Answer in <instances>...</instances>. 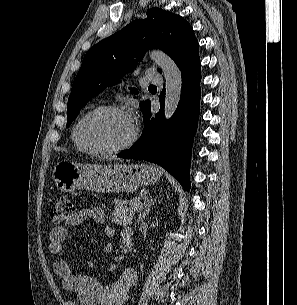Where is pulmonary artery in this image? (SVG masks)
Masks as SVG:
<instances>
[{
	"label": "pulmonary artery",
	"mask_w": 297,
	"mask_h": 305,
	"mask_svg": "<svg viewBox=\"0 0 297 305\" xmlns=\"http://www.w3.org/2000/svg\"><path fill=\"white\" fill-rule=\"evenodd\" d=\"M145 81L153 84H159L162 80L154 69H149L145 72Z\"/></svg>",
	"instance_id": "1"
}]
</instances>
